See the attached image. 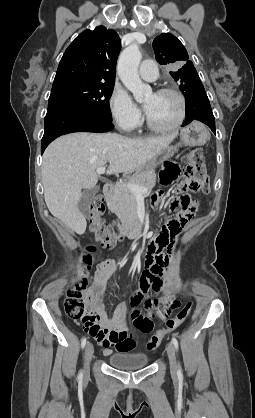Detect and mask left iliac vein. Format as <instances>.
I'll use <instances>...</instances> for the list:
<instances>
[{
	"label": "left iliac vein",
	"instance_id": "1",
	"mask_svg": "<svg viewBox=\"0 0 255 418\" xmlns=\"http://www.w3.org/2000/svg\"><path fill=\"white\" fill-rule=\"evenodd\" d=\"M167 354L170 363V371L173 376L177 374V363H176V355H175V348L171 342L167 345Z\"/></svg>",
	"mask_w": 255,
	"mask_h": 418
}]
</instances>
